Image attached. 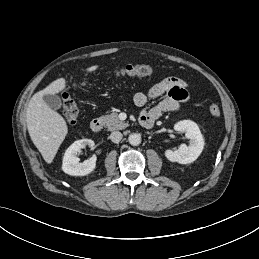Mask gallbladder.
I'll return each instance as SVG.
<instances>
[{"label":"gallbladder","mask_w":259,"mask_h":259,"mask_svg":"<svg viewBox=\"0 0 259 259\" xmlns=\"http://www.w3.org/2000/svg\"><path fill=\"white\" fill-rule=\"evenodd\" d=\"M43 100L51 109L54 110H58L62 106L60 97L54 94L44 95Z\"/></svg>","instance_id":"1"}]
</instances>
